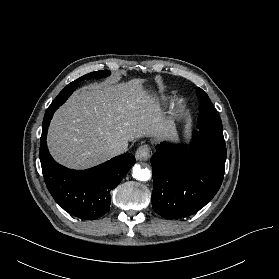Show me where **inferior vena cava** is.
Masks as SVG:
<instances>
[{"mask_svg": "<svg viewBox=\"0 0 279 279\" xmlns=\"http://www.w3.org/2000/svg\"><path fill=\"white\" fill-rule=\"evenodd\" d=\"M127 151V146L125 145H112L108 152L111 156L121 155Z\"/></svg>", "mask_w": 279, "mask_h": 279, "instance_id": "1", "label": "inferior vena cava"}]
</instances>
